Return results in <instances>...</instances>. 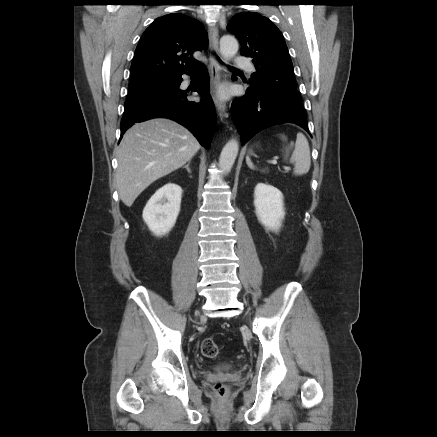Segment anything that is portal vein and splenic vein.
Here are the masks:
<instances>
[{
  "mask_svg": "<svg viewBox=\"0 0 437 437\" xmlns=\"http://www.w3.org/2000/svg\"><path fill=\"white\" fill-rule=\"evenodd\" d=\"M270 163H272V164H274V165H275V164H277V161H276V160H273V161H270ZM285 169H286V170H290V168H289V167H285Z\"/></svg>",
  "mask_w": 437,
  "mask_h": 437,
  "instance_id": "portal-vein-and-splenic-vein-1",
  "label": "portal vein and splenic vein"
}]
</instances>
